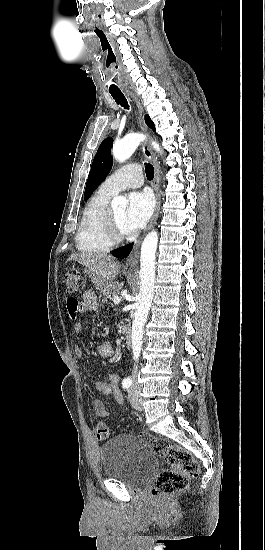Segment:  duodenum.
<instances>
[{
	"instance_id": "duodenum-1",
	"label": "duodenum",
	"mask_w": 265,
	"mask_h": 550,
	"mask_svg": "<svg viewBox=\"0 0 265 550\" xmlns=\"http://www.w3.org/2000/svg\"><path fill=\"white\" fill-rule=\"evenodd\" d=\"M124 340L125 344L130 347L132 344V334L129 328H126L124 331Z\"/></svg>"
}]
</instances>
